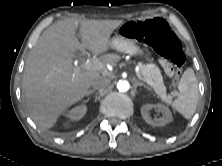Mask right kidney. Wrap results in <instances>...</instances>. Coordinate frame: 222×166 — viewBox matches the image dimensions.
Returning a JSON list of instances; mask_svg holds the SVG:
<instances>
[{
    "instance_id": "obj_1",
    "label": "right kidney",
    "mask_w": 222,
    "mask_h": 166,
    "mask_svg": "<svg viewBox=\"0 0 222 166\" xmlns=\"http://www.w3.org/2000/svg\"><path fill=\"white\" fill-rule=\"evenodd\" d=\"M86 112H87V106L79 105L72 108L71 110L65 111L63 115L71 121H78L86 114Z\"/></svg>"
}]
</instances>
